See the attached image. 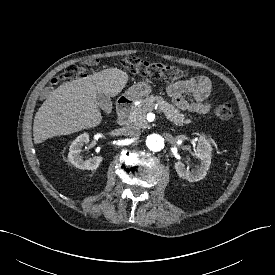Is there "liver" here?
I'll list each match as a JSON object with an SVG mask.
<instances>
[{"label":"liver","mask_w":275,"mask_h":275,"mask_svg":"<svg viewBox=\"0 0 275 275\" xmlns=\"http://www.w3.org/2000/svg\"><path fill=\"white\" fill-rule=\"evenodd\" d=\"M129 79L126 72L109 68L55 89L36 112L34 143L93 128L102 122L97 94L117 96Z\"/></svg>","instance_id":"6515ba94"}]
</instances>
